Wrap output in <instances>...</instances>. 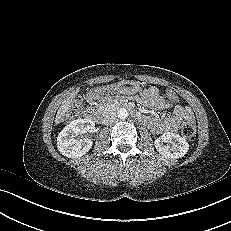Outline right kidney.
<instances>
[{
    "label": "right kidney",
    "mask_w": 231,
    "mask_h": 231,
    "mask_svg": "<svg viewBox=\"0 0 231 231\" xmlns=\"http://www.w3.org/2000/svg\"><path fill=\"white\" fill-rule=\"evenodd\" d=\"M95 124L90 119H77L59 133L57 137V147L62 155L69 158H78L85 155L93 145L89 138L78 139L79 134L91 131Z\"/></svg>",
    "instance_id": "1"
}]
</instances>
